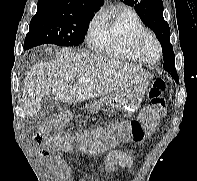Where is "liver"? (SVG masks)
<instances>
[{
    "label": "liver",
    "instance_id": "6515ba94",
    "mask_svg": "<svg viewBox=\"0 0 197 181\" xmlns=\"http://www.w3.org/2000/svg\"><path fill=\"white\" fill-rule=\"evenodd\" d=\"M48 45L45 52H51ZM76 77L78 82L69 85ZM79 78H89V82ZM152 75L130 63L111 57L74 51L64 48L51 62L39 61L28 72L24 80L23 108L32 117L41 109V100L51 95L56 102L77 103L108 95L151 79Z\"/></svg>",
    "mask_w": 197,
    "mask_h": 181
}]
</instances>
